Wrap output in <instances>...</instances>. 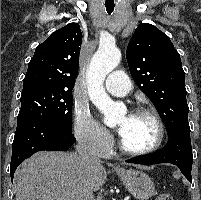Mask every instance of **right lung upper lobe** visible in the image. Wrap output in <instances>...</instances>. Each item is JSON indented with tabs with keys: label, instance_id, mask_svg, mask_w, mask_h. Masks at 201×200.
<instances>
[{
	"label": "right lung upper lobe",
	"instance_id": "right-lung-upper-lobe-1",
	"mask_svg": "<svg viewBox=\"0 0 201 200\" xmlns=\"http://www.w3.org/2000/svg\"><path fill=\"white\" fill-rule=\"evenodd\" d=\"M82 33L70 23L39 44L28 64L23 91L51 90L72 93L79 66Z\"/></svg>",
	"mask_w": 201,
	"mask_h": 200
}]
</instances>
